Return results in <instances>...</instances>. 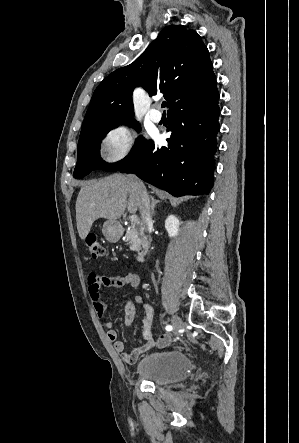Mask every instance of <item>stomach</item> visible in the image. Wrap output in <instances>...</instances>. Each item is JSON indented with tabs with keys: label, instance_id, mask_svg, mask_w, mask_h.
<instances>
[{
	"label": "stomach",
	"instance_id": "1",
	"mask_svg": "<svg viewBox=\"0 0 299 443\" xmlns=\"http://www.w3.org/2000/svg\"><path fill=\"white\" fill-rule=\"evenodd\" d=\"M102 233L104 237L112 243L119 239V224L117 221H106L103 224Z\"/></svg>",
	"mask_w": 299,
	"mask_h": 443
}]
</instances>
